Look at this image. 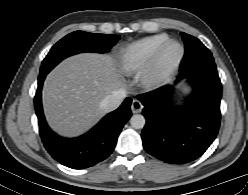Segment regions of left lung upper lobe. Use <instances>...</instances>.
<instances>
[{
  "label": "left lung upper lobe",
  "instance_id": "left-lung-upper-lobe-1",
  "mask_svg": "<svg viewBox=\"0 0 248 195\" xmlns=\"http://www.w3.org/2000/svg\"><path fill=\"white\" fill-rule=\"evenodd\" d=\"M185 43V54L180 65V75L184 77L202 72H217L211 52L197 38L181 33Z\"/></svg>",
  "mask_w": 248,
  "mask_h": 195
}]
</instances>
